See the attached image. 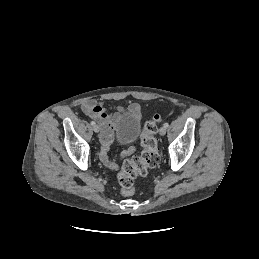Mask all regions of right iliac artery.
Returning a JSON list of instances; mask_svg holds the SVG:
<instances>
[{
    "instance_id": "82829eb1",
    "label": "right iliac artery",
    "mask_w": 259,
    "mask_h": 259,
    "mask_svg": "<svg viewBox=\"0 0 259 259\" xmlns=\"http://www.w3.org/2000/svg\"><path fill=\"white\" fill-rule=\"evenodd\" d=\"M90 124H91L92 126H94V125H95V122H94V121H91Z\"/></svg>"
}]
</instances>
